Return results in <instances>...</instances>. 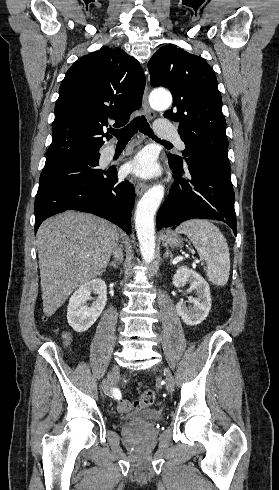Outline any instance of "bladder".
Returning <instances> with one entry per match:
<instances>
[{
	"instance_id": "obj_1",
	"label": "bladder",
	"mask_w": 279,
	"mask_h": 490,
	"mask_svg": "<svg viewBox=\"0 0 279 490\" xmlns=\"http://www.w3.org/2000/svg\"><path fill=\"white\" fill-rule=\"evenodd\" d=\"M163 418L161 409L152 406H146L136 409L123 417L122 422L128 426H137L140 423L151 424L157 423Z\"/></svg>"
}]
</instances>
